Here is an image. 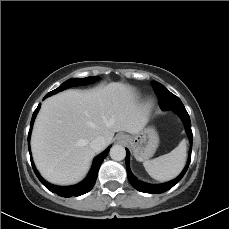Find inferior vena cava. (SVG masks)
Instances as JSON below:
<instances>
[{
    "label": "inferior vena cava",
    "mask_w": 229,
    "mask_h": 229,
    "mask_svg": "<svg viewBox=\"0 0 229 229\" xmlns=\"http://www.w3.org/2000/svg\"><path fill=\"white\" fill-rule=\"evenodd\" d=\"M105 138L103 136H97L90 142V147L95 151L99 152L105 148Z\"/></svg>",
    "instance_id": "obj_1"
}]
</instances>
